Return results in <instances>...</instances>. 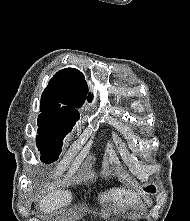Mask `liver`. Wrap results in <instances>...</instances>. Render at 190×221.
<instances>
[{"mask_svg": "<svg viewBox=\"0 0 190 221\" xmlns=\"http://www.w3.org/2000/svg\"><path fill=\"white\" fill-rule=\"evenodd\" d=\"M124 197V198H123ZM100 201H115L116 205L122 203H132L136 199L133 192L115 189L110 190L107 194H100ZM72 200V194L68 190H52L47 195L42 196L38 203V208L45 214L55 212L66 207Z\"/></svg>", "mask_w": 190, "mask_h": 221, "instance_id": "obj_1", "label": "liver"}]
</instances>
